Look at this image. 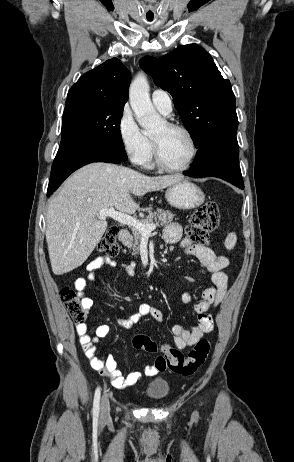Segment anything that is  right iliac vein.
<instances>
[{
    "instance_id": "obj_1",
    "label": "right iliac vein",
    "mask_w": 294,
    "mask_h": 462,
    "mask_svg": "<svg viewBox=\"0 0 294 462\" xmlns=\"http://www.w3.org/2000/svg\"><path fill=\"white\" fill-rule=\"evenodd\" d=\"M110 416V403L109 399L106 395H104L101 399V410H100V418L102 421H105Z\"/></svg>"
}]
</instances>
